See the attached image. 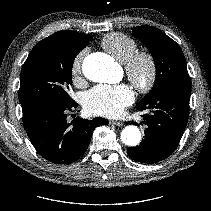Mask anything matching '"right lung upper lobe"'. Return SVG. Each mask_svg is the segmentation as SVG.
I'll list each match as a JSON object with an SVG mask.
<instances>
[{
  "instance_id": "1",
  "label": "right lung upper lobe",
  "mask_w": 211,
  "mask_h": 211,
  "mask_svg": "<svg viewBox=\"0 0 211 211\" xmlns=\"http://www.w3.org/2000/svg\"><path fill=\"white\" fill-rule=\"evenodd\" d=\"M89 35H82L80 33L74 31H59L55 34L47 37L46 39L49 41H53L56 43H64L68 40L78 39V38H87Z\"/></svg>"
}]
</instances>
